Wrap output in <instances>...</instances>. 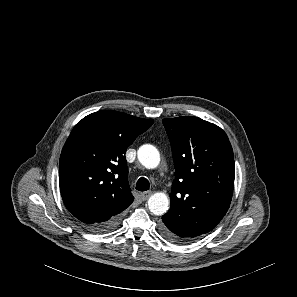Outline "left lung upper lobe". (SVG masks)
<instances>
[{"label":"left lung upper lobe","mask_w":297,"mask_h":297,"mask_svg":"<svg viewBox=\"0 0 297 297\" xmlns=\"http://www.w3.org/2000/svg\"><path fill=\"white\" fill-rule=\"evenodd\" d=\"M172 149L175 179L171 215L181 237L193 241L226 214L234 188V155L226 133L198 117L163 119Z\"/></svg>","instance_id":"obj_1"}]
</instances>
